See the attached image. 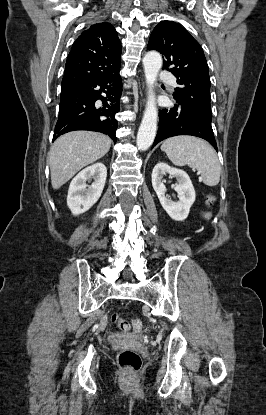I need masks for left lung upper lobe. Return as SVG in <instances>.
<instances>
[{"label": "left lung upper lobe", "instance_id": "1", "mask_svg": "<svg viewBox=\"0 0 266 415\" xmlns=\"http://www.w3.org/2000/svg\"><path fill=\"white\" fill-rule=\"evenodd\" d=\"M147 49L159 51L163 69L177 77L176 103L211 127L210 78L199 43L179 24L162 21L154 28Z\"/></svg>", "mask_w": 266, "mask_h": 415}]
</instances>
